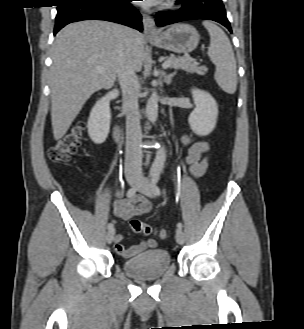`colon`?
<instances>
[{"label": "colon", "instance_id": "colon-1", "mask_svg": "<svg viewBox=\"0 0 304 329\" xmlns=\"http://www.w3.org/2000/svg\"><path fill=\"white\" fill-rule=\"evenodd\" d=\"M85 132V123L83 121L77 122L72 128L62 136L49 150V158L54 163H66L77 152L82 143ZM130 227L133 232L145 236H159L161 238L167 237L165 229L156 228L148 225L139 219H131Z\"/></svg>", "mask_w": 304, "mask_h": 329}]
</instances>
